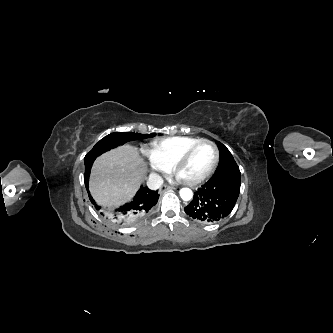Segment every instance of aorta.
<instances>
[{"label": "aorta", "instance_id": "obj_1", "mask_svg": "<svg viewBox=\"0 0 333 333\" xmlns=\"http://www.w3.org/2000/svg\"><path fill=\"white\" fill-rule=\"evenodd\" d=\"M180 197L184 200V201H189L192 199L193 197V192L191 189L189 188H182L180 190Z\"/></svg>", "mask_w": 333, "mask_h": 333}]
</instances>
